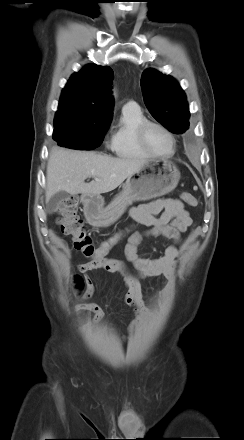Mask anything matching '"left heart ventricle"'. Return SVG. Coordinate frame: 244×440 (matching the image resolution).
<instances>
[{
  "label": "left heart ventricle",
  "mask_w": 244,
  "mask_h": 440,
  "mask_svg": "<svg viewBox=\"0 0 244 440\" xmlns=\"http://www.w3.org/2000/svg\"><path fill=\"white\" fill-rule=\"evenodd\" d=\"M148 148L156 154H169L172 151V142L169 136L157 127H149L146 132Z\"/></svg>",
  "instance_id": "left-heart-ventricle-1"
}]
</instances>
